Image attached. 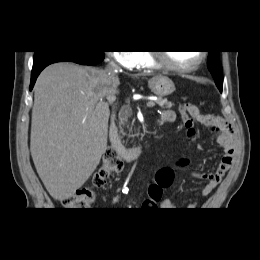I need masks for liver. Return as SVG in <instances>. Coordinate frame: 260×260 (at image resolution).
I'll return each instance as SVG.
<instances>
[{
    "instance_id": "liver-1",
    "label": "liver",
    "mask_w": 260,
    "mask_h": 260,
    "mask_svg": "<svg viewBox=\"0 0 260 260\" xmlns=\"http://www.w3.org/2000/svg\"><path fill=\"white\" fill-rule=\"evenodd\" d=\"M119 79L68 62L46 67L34 87L30 151L44 186L56 200L71 197L107 149L109 106L102 98Z\"/></svg>"
}]
</instances>
